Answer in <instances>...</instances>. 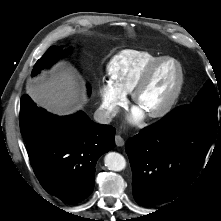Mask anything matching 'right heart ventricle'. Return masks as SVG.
Instances as JSON below:
<instances>
[{"instance_id": "1", "label": "right heart ventricle", "mask_w": 221, "mask_h": 221, "mask_svg": "<svg viewBox=\"0 0 221 221\" xmlns=\"http://www.w3.org/2000/svg\"><path fill=\"white\" fill-rule=\"evenodd\" d=\"M160 56L143 50H124L115 55L107 66L110 82L121 92L129 94L148 66Z\"/></svg>"}]
</instances>
